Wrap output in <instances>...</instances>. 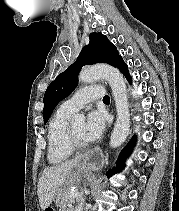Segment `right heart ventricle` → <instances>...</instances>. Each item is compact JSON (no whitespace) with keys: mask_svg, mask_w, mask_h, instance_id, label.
Returning <instances> with one entry per match:
<instances>
[{"mask_svg":"<svg viewBox=\"0 0 179 211\" xmlns=\"http://www.w3.org/2000/svg\"><path fill=\"white\" fill-rule=\"evenodd\" d=\"M72 113L59 108L47 126V160L51 165H61L74 154L68 142V127Z\"/></svg>","mask_w":179,"mask_h":211,"instance_id":"obj_1","label":"right heart ventricle"}]
</instances>
